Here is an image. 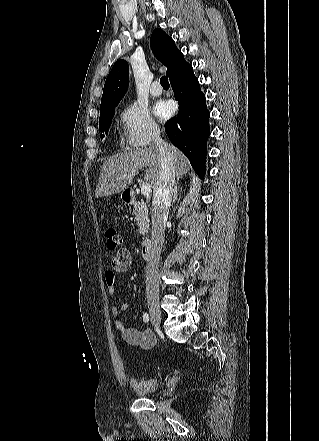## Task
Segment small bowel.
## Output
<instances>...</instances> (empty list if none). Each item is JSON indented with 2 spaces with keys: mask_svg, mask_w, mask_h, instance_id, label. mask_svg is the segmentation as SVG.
Segmentation results:
<instances>
[{
  "mask_svg": "<svg viewBox=\"0 0 319 441\" xmlns=\"http://www.w3.org/2000/svg\"><path fill=\"white\" fill-rule=\"evenodd\" d=\"M132 257L130 252L126 248L120 249L117 254L112 258L111 271H105L104 279L107 286V292L110 296L115 295V279L116 273L128 271L131 265ZM130 305L127 302L121 305H112L111 313L115 318V325L120 331L124 341L132 346L140 347L141 349L147 350L155 345L156 337L150 329L139 330L133 327H127L123 324L120 313L126 312Z\"/></svg>",
  "mask_w": 319,
  "mask_h": 441,
  "instance_id": "small-bowel-1",
  "label": "small bowel"
}]
</instances>
